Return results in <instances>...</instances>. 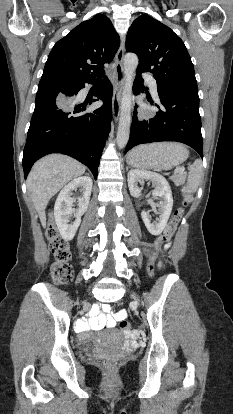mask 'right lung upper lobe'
Instances as JSON below:
<instances>
[{
    "mask_svg": "<svg viewBox=\"0 0 233 414\" xmlns=\"http://www.w3.org/2000/svg\"><path fill=\"white\" fill-rule=\"evenodd\" d=\"M120 45L110 19L102 14L82 22L51 50L41 80L75 82L96 80L104 75Z\"/></svg>",
    "mask_w": 233,
    "mask_h": 414,
    "instance_id": "cb5924a9",
    "label": "right lung upper lobe"
}]
</instances>
